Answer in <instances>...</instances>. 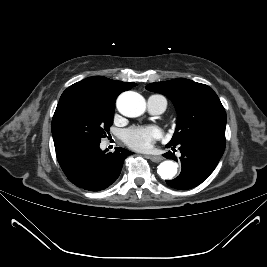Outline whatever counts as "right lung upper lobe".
Instances as JSON below:
<instances>
[{
    "label": "right lung upper lobe",
    "instance_id": "right-lung-upper-lobe-1",
    "mask_svg": "<svg viewBox=\"0 0 267 267\" xmlns=\"http://www.w3.org/2000/svg\"><path fill=\"white\" fill-rule=\"evenodd\" d=\"M134 86H136V84L132 82H121L111 80L103 76H93L71 85L69 89L76 87L93 88L100 92L107 99L115 102L117 96L121 92L129 90Z\"/></svg>",
    "mask_w": 267,
    "mask_h": 267
}]
</instances>
